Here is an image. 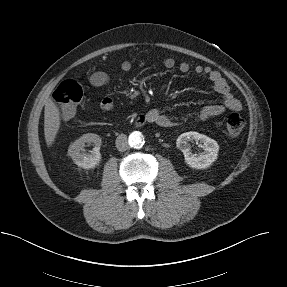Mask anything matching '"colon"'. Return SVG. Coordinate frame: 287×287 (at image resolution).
Here are the masks:
<instances>
[{
	"mask_svg": "<svg viewBox=\"0 0 287 287\" xmlns=\"http://www.w3.org/2000/svg\"><path fill=\"white\" fill-rule=\"evenodd\" d=\"M84 92V86L75 79L66 80L57 87L53 97L63 119L71 118L75 114ZM225 127L230 136H238L245 127V119L238 113H230L225 118Z\"/></svg>",
	"mask_w": 287,
	"mask_h": 287,
	"instance_id": "obj_1",
	"label": "colon"
}]
</instances>
